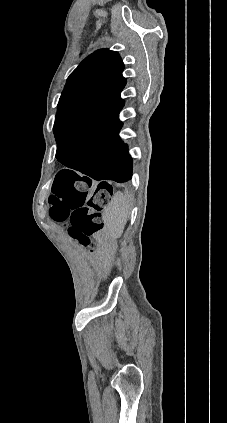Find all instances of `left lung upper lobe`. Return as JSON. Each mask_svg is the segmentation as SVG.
<instances>
[{"label": "left lung upper lobe", "instance_id": "left-lung-upper-lobe-1", "mask_svg": "<svg viewBox=\"0 0 227 423\" xmlns=\"http://www.w3.org/2000/svg\"><path fill=\"white\" fill-rule=\"evenodd\" d=\"M123 69L119 54L108 49H99L80 63L68 77L58 103L54 124L57 141L122 109Z\"/></svg>", "mask_w": 227, "mask_h": 423}]
</instances>
